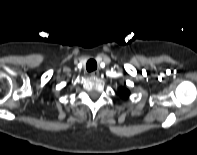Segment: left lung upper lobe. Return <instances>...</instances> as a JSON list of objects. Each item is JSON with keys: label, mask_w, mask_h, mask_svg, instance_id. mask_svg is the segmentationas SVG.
<instances>
[{"label": "left lung upper lobe", "mask_w": 197, "mask_h": 155, "mask_svg": "<svg viewBox=\"0 0 197 155\" xmlns=\"http://www.w3.org/2000/svg\"><path fill=\"white\" fill-rule=\"evenodd\" d=\"M129 91L126 88H121L119 91V95L122 98H127L129 96Z\"/></svg>", "instance_id": "obj_1"}]
</instances>
